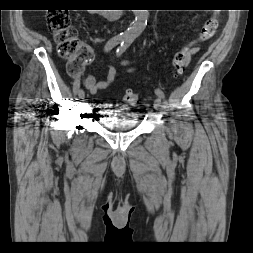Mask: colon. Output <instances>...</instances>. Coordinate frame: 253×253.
Segmentation results:
<instances>
[{
	"mask_svg": "<svg viewBox=\"0 0 253 253\" xmlns=\"http://www.w3.org/2000/svg\"><path fill=\"white\" fill-rule=\"evenodd\" d=\"M48 27L58 43L60 55L68 60L69 73L72 76H80L85 67L94 60L93 49L77 38L67 12H51L49 14ZM217 27V17L215 15L209 17L200 28L197 37L175 53L172 60L173 76L179 75L184 71L190 62L191 56L199 50L197 45L210 39L215 34ZM123 100L127 104L135 105L140 102V96L138 93L128 90L124 94Z\"/></svg>",
	"mask_w": 253,
	"mask_h": 253,
	"instance_id": "colon-1",
	"label": "colon"
}]
</instances>
